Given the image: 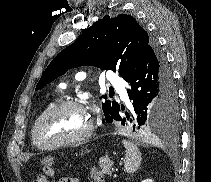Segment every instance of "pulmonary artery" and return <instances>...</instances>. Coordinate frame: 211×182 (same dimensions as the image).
Returning a JSON list of instances; mask_svg holds the SVG:
<instances>
[{
    "mask_svg": "<svg viewBox=\"0 0 211 182\" xmlns=\"http://www.w3.org/2000/svg\"><path fill=\"white\" fill-rule=\"evenodd\" d=\"M108 79H109V81H110L113 85H115V86L117 87V89H118V91H119L121 97H122L124 100H127V99H128V96H127V93H126V89H125L124 85L121 83L120 78H119L117 75H115V74H110V75L108 76ZM62 87L64 88L65 85H62Z\"/></svg>",
    "mask_w": 211,
    "mask_h": 182,
    "instance_id": "obj_1",
    "label": "pulmonary artery"
}]
</instances>
